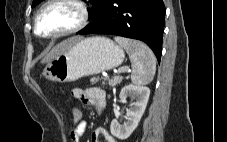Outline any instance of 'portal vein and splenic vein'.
<instances>
[{"label":"portal vein and splenic vein","mask_w":227,"mask_h":142,"mask_svg":"<svg viewBox=\"0 0 227 142\" xmlns=\"http://www.w3.org/2000/svg\"><path fill=\"white\" fill-rule=\"evenodd\" d=\"M129 69L127 67L122 68L121 72H127Z\"/></svg>","instance_id":"obj_1"}]
</instances>
